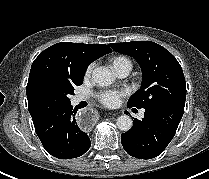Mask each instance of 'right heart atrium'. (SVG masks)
<instances>
[{"mask_svg":"<svg viewBox=\"0 0 209 179\" xmlns=\"http://www.w3.org/2000/svg\"><path fill=\"white\" fill-rule=\"evenodd\" d=\"M95 64L91 63L85 70V77H89L94 69Z\"/></svg>","mask_w":209,"mask_h":179,"instance_id":"1","label":"right heart atrium"}]
</instances>
